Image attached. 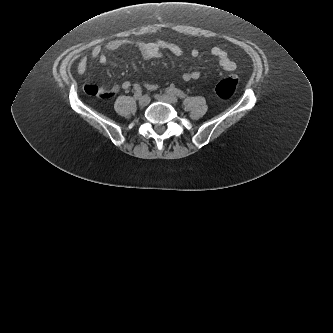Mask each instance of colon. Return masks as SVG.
<instances>
[{
	"mask_svg": "<svg viewBox=\"0 0 333 333\" xmlns=\"http://www.w3.org/2000/svg\"><path fill=\"white\" fill-rule=\"evenodd\" d=\"M239 80L235 76H230L220 80L215 87L216 94L222 99H229L234 95Z\"/></svg>",
	"mask_w": 333,
	"mask_h": 333,
	"instance_id": "colon-1",
	"label": "colon"
}]
</instances>
